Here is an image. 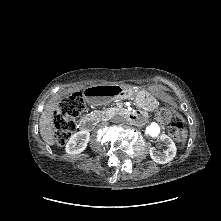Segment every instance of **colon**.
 <instances>
[{"mask_svg": "<svg viewBox=\"0 0 221 221\" xmlns=\"http://www.w3.org/2000/svg\"><path fill=\"white\" fill-rule=\"evenodd\" d=\"M85 101L80 93L62 98L54 118L55 139L59 144H64L75 131L76 118L85 110ZM156 118L161 123H168L171 119V112L166 107H160L156 111ZM170 136L177 142L183 140L185 127L182 122L174 121L169 126Z\"/></svg>", "mask_w": 221, "mask_h": 221, "instance_id": "5ec220e1", "label": "colon"}]
</instances>
